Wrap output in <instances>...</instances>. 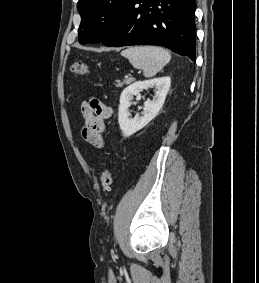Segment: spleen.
<instances>
[{"mask_svg": "<svg viewBox=\"0 0 259 283\" xmlns=\"http://www.w3.org/2000/svg\"><path fill=\"white\" fill-rule=\"evenodd\" d=\"M136 69L143 70L147 78L155 76L171 59L170 53L156 46H134L121 52Z\"/></svg>", "mask_w": 259, "mask_h": 283, "instance_id": "spleen-1", "label": "spleen"}]
</instances>
